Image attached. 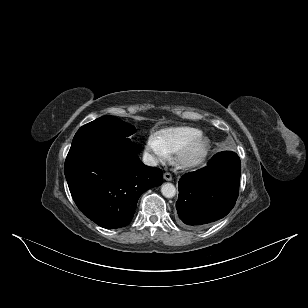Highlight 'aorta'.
Wrapping results in <instances>:
<instances>
[{
  "mask_svg": "<svg viewBox=\"0 0 308 308\" xmlns=\"http://www.w3.org/2000/svg\"><path fill=\"white\" fill-rule=\"evenodd\" d=\"M161 193L166 198H172L176 194V188L171 183H164L161 187Z\"/></svg>",
  "mask_w": 308,
  "mask_h": 308,
  "instance_id": "obj_1",
  "label": "aorta"
}]
</instances>
